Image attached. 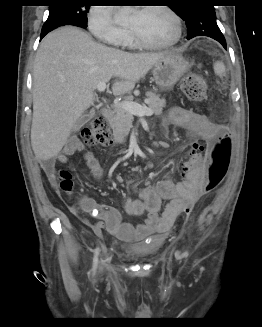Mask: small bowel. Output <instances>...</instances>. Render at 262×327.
<instances>
[{
    "label": "small bowel",
    "mask_w": 262,
    "mask_h": 327,
    "mask_svg": "<svg viewBox=\"0 0 262 327\" xmlns=\"http://www.w3.org/2000/svg\"><path fill=\"white\" fill-rule=\"evenodd\" d=\"M169 122L186 129L192 138L209 145L213 142V135H217V129H221V125L213 123L206 115L181 107H173L170 110ZM80 150V140L72 137L58 156V162L65 163L70 155ZM84 159L93 177L100 180L103 170L98 160L89 151L85 153ZM200 160H209V153H186L185 159H174V166L177 170H182V176L185 177L183 180L175 182L166 177L154 186L142 188L140 199L126 200L125 209L130 215L146 214L143 222L137 225L123 222L117 209L98 204L85 195L79 199V208L95 217L96 221L83 218L82 222L96 234H100L105 228L111 235L125 241L140 240L152 233L167 232L187 201L193 200L196 203L205 193L203 189L207 180ZM52 168L53 165L45 166L48 173H51ZM163 200H167L168 204L161 214Z\"/></svg>",
    "instance_id": "c3829d8e"
}]
</instances>
